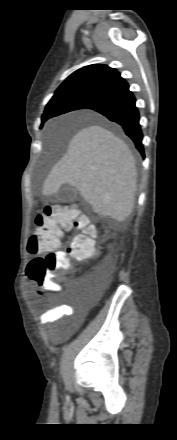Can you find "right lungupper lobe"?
<instances>
[{
	"label": "right lung upper lobe",
	"mask_w": 177,
	"mask_h": 440,
	"mask_svg": "<svg viewBox=\"0 0 177 440\" xmlns=\"http://www.w3.org/2000/svg\"><path fill=\"white\" fill-rule=\"evenodd\" d=\"M126 87L128 84L118 71L106 65L94 64L85 66L71 74L54 95L77 92L98 100Z\"/></svg>",
	"instance_id": "obj_1"
}]
</instances>
